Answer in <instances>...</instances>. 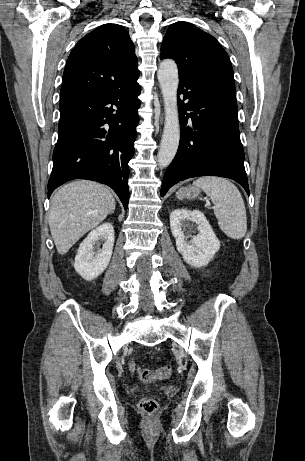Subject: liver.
<instances>
[{"label": "liver", "instance_id": "1", "mask_svg": "<svg viewBox=\"0 0 305 461\" xmlns=\"http://www.w3.org/2000/svg\"><path fill=\"white\" fill-rule=\"evenodd\" d=\"M111 192L101 184L77 180L53 196L49 227L59 254L64 255L89 230L115 208Z\"/></svg>", "mask_w": 305, "mask_h": 461}]
</instances>
